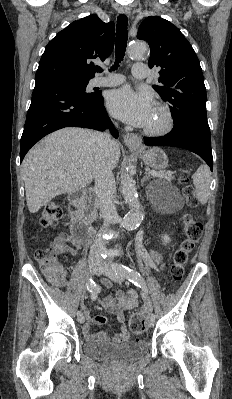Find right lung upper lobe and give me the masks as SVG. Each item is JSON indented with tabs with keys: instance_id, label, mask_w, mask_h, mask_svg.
Wrapping results in <instances>:
<instances>
[{
	"instance_id": "1",
	"label": "right lung upper lobe",
	"mask_w": 232,
	"mask_h": 399,
	"mask_svg": "<svg viewBox=\"0 0 232 399\" xmlns=\"http://www.w3.org/2000/svg\"><path fill=\"white\" fill-rule=\"evenodd\" d=\"M114 47V23L96 14L72 22L46 46L36 80L91 79L97 72L93 59L104 61Z\"/></svg>"
}]
</instances>
